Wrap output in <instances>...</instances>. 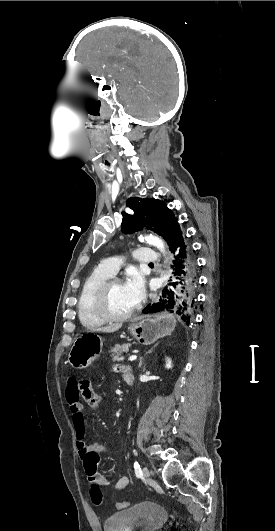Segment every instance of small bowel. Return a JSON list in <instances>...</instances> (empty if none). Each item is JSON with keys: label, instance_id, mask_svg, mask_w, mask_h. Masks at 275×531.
<instances>
[{"label": "small bowel", "instance_id": "obj_1", "mask_svg": "<svg viewBox=\"0 0 275 531\" xmlns=\"http://www.w3.org/2000/svg\"><path fill=\"white\" fill-rule=\"evenodd\" d=\"M129 371V370H127ZM70 382L64 386L66 393V399L70 407L71 423L75 434L77 436V448L78 455L83 463V467L88 478L94 479V481L100 486L105 487L109 484V480L97 471L99 465L100 455L109 450L106 443L96 442L93 444H86V419L82 404L79 402L78 394L81 391L78 374L70 375ZM129 484V478L126 476L121 477L117 483L116 488L118 490L124 489Z\"/></svg>", "mask_w": 275, "mask_h": 531}]
</instances>
